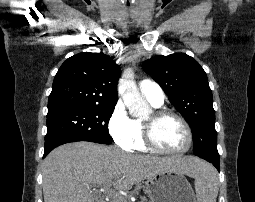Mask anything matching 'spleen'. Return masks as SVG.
Masks as SVG:
<instances>
[{"instance_id":"obj_1","label":"spleen","mask_w":255,"mask_h":202,"mask_svg":"<svg viewBox=\"0 0 255 202\" xmlns=\"http://www.w3.org/2000/svg\"><path fill=\"white\" fill-rule=\"evenodd\" d=\"M195 191L198 202H216L218 195V173L207 163H200L195 172Z\"/></svg>"}]
</instances>
